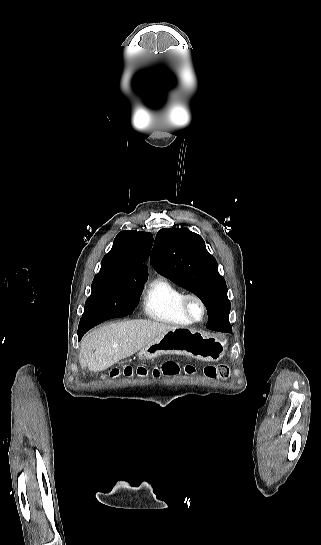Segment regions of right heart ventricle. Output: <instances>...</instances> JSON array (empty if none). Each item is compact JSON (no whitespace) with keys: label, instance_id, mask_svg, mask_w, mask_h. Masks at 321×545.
Returning <instances> with one entry per match:
<instances>
[{"label":"right heart ventricle","instance_id":"right-heart-ventricle-1","mask_svg":"<svg viewBox=\"0 0 321 545\" xmlns=\"http://www.w3.org/2000/svg\"><path fill=\"white\" fill-rule=\"evenodd\" d=\"M185 292L163 275L152 276L143 298V312L149 319L176 328L192 325L181 311Z\"/></svg>","mask_w":321,"mask_h":545}]
</instances>
